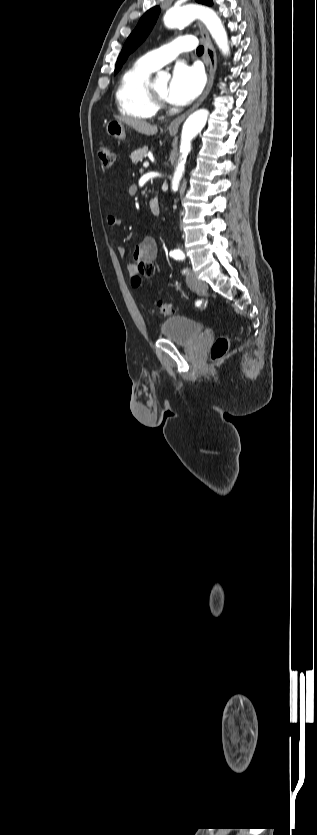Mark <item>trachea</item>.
I'll return each mask as SVG.
<instances>
[{
  "label": "trachea",
  "instance_id": "obj_1",
  "mask_svg": "<svg viewBox=\"0 0 317 835\" xmlns=\"http://www.w3.org/2000/svg\"><path fill=\"white\" fill-rule=\"evenodd\" d=\"M196 53H197L198 55L203 54V53H204V47H203V46H199V47L197 48V50H196Z\"/></svg>",
  "mask_w": 317,
  "mask_h": 835
}]
</instances>
